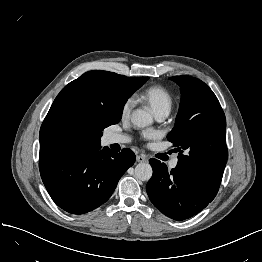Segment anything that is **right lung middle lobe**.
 I'll use <instances>...</instances> for the list:
<instances>
[{"instance_id": "1", "label": "right lung middle lobe", "mask_w": 262, "mask_h": 262, "mask_svg": "<svg viewBox=\"0 0 262 262\" xmlns=\"http://www.w3.org/2000/svg\"><path fill=\"white\" fill-rule=\"evenodd\" d=\"M149 78L148 77H139L134 81V88L137 90L140 88ZM122 117V110L117 112L114 115L104 117L101 115H91L87 121V128L92 133L97 141L100 142V138L103 134V129L107 126L116 124L120 121Z\"/></svg>"}]
</instances>
